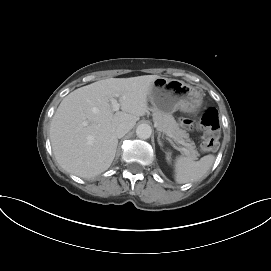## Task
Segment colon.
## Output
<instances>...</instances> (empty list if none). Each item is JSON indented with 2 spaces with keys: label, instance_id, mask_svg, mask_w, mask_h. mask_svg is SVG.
<instances>
[{
  "label": "colon",
  "instance_id": "colon-1",
  "mask_svg": "<svg viewBox=\"0 0 271 271\" xmlns=\"http://www.w3.org/2000/svg\"><path fill=\"white\" fill-rule=\"evenodd\" d=\"M180 124L184 128H198L204 132L203 140L200 145L202 151L209 152L217 148L220 123L216 109L207 108L198 123H194L188 118H181Z\"/></svg>",
  "mask_w": 271,
  "mask_h": 271
}]
</instances>
